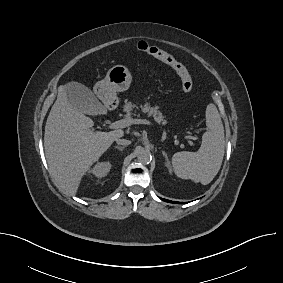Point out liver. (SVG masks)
Here are the masks:
<instances>
[{
  "label": "liver",
  "mask_w": 283,
  "mask_h": 283,
  "mask_svg": "<svg viewBox=\"0 0 283 283\" xmlns=\"http://www.w3.org/2000/svg\"><path fill=\"white\" fill-rule=\"evenodd\" d=\"M93 125L91 118L69 104L65 87H61L47 118L44 147L51 174L68 195L77 193L90 166L124 135L122 129L101 132Z\"/></svg>",
  "instance_id": "liver-1"
}]
</instances>
